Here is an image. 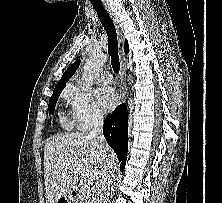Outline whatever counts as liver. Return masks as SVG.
I'll return each mask as SVG.
<instances>
[{
  "label": "liver",
  "instance_id": "liver-1",
  "mask_svg": "<svg viewBox=\"0 0 222 203\" xmlns=\"http://www.w3.org/2000/svg\"><path fill=\"white\" fill-rule=\"evenodd\" d=\"M114 158L106 142L89 138L85 133H67L47 140L44 146L46 203H56L69 195L79 180L96 184L106 159L113 163Z\"/></svg>",
  "mask_w": 222,
  "mask_h": 203
}]
</instances>
